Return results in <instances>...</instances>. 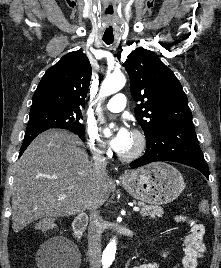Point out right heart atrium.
<instances>
[{
    "label": "right heart atrium",
    "mask_w": 221,
    "mask_h": 268,
    "mask_svg": "<svg viewBox=\"0 0 221 268\" xmlns=\"http://www.w3.org/2000/svg\"><path fill=\"white\" fill-rule=\"evenodd\" d=\"M86 142L91 153L96 157H107L109 150L100 138L98 130L93 125H88L85 131Z\"/></svg>",
    "instance_id": "right-heart-atrium-1"
}]
</instances>
